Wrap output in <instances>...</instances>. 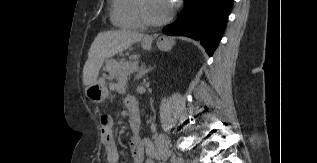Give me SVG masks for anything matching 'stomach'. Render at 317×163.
<instances>
[{"instance_id":"0dacf381","label":"stomach","mask_w":317,"mask_h":163,"mask_svg":"<svg viewBox=\"0 0 317 163\" xmlns=\"http://www.w3.org/2000/svg\"><path fill=\"white\" fill-rule=\"evenodd\" d=\"M142 48L144 50H150L152 45L147 41H142ZM174 45V41L168 37H160L157 41V46L163 51H168ZM85 95L93 103H102L108 98L109 92L104 79H97L94 83L87 86L85 89Z\"/></svg>"}]
</instances>
